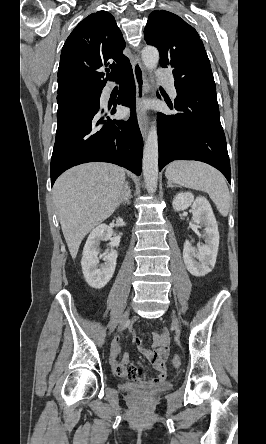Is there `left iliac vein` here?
<instances>
[{
    "label": "left iliac vein",
    "instance_id": "left-iliac-vein-1",
    "mask_svg": "<svg viewBox=\"0 0 266 444\" xmlns=\"http://www.w3.org/2000/svg\"><path fill=\"white\" fill-rule=\"evenodd\" d=\"M172 321H173V326H174L176 333H179V323H178V320L175 317V315H172Z\"/></svg>",
    "mask_w": 266,
    "mask_h": 444
}]
</instances>
